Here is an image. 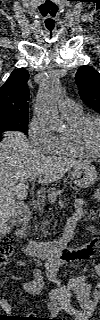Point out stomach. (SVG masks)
I'll list each match as a JSON object with an SVG mask.
<instances>
[{
    "instance_id": "1",
    "label": "stomach",
    "mask_w": 100,
    "mask_h": 320,
    "mask_svg": "<svg viewBox=\"0 0 100 320\" xmlns=\"http://www.w3.org/2000/svg\"><path fill=\"white\" fill-rule=\"evenodd\" d=\"M98 175L96 167L90 161H85L81 165L73 168L71 179L77 186L86 188L95 183Z\"/></svg>"
}]
</instances>
